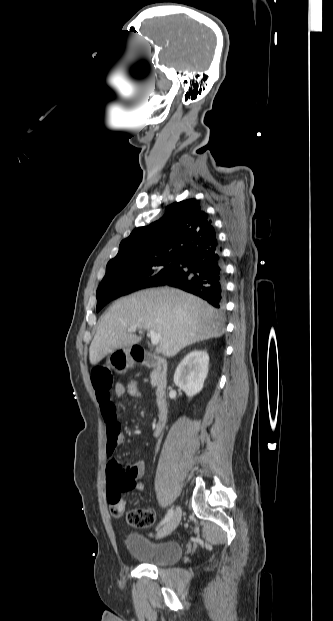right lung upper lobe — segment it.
<instances>
[{
	"label": "right lung upper lobe",
	"instance_id": "obj_1",
	"mask_svg": "<svg viewBox=\"0 0 333 621\" xmlns=\"http://www.w3.org/2000/svg\"><path fill=\"white\" fill-rule=\"evenodd\" d=\"M217 243L208 214L196 199L171 204L163 216L147 226L136 228L119 246L107 265L179 257L204 250Z\"/></svg>",
	"mask_w": 333,
	"mask_h": 621
}]
</instances>
